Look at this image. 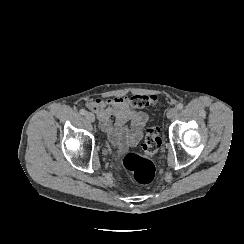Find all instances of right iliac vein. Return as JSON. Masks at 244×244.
Masks as SVG:
<instances>
[{
  "label": "right iliac vein",
  "instance_id": "63e3f726",
  "mask_svg": "<svg viewBox=\"0 0 244 244\" xmlns=\"http://www.w3.org/2000/svg\"><path fill=\"white\" fill-rule=\"evenodd\" d=\"M85 118H86L88 121H90V122H94V121H95V116H94L92 113H90V112H86V114H85Z\"/></svg>",
  "mask_w": 244,
  "mask_h": 244
}]
</instances>
